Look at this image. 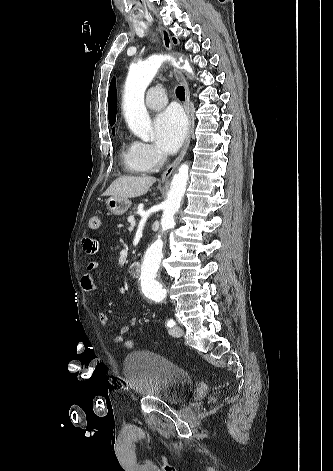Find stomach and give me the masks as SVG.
<instances>
[{
	"label": "stomach",
	"instance_id": "1",
	"mask_svg": "<svg viewBox=\"0 0 333 471\" xmlns=\"http://www.w3.org/2000/svg\"><path fill=\"white\" fill-rule=\"evenodd\" d=\"M107 208L114 215L124 214L131 206V201L128 198H118L111 196L107 200Z\"/></svg>",
	"mask_w": 333,
	"mask_h": 471
}]
</instances>
